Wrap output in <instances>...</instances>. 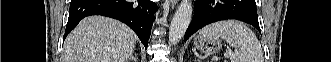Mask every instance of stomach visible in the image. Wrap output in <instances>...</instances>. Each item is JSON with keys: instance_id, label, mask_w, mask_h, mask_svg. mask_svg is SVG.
Masks as SVG:
<instances>
[{"instance_id": "1", "label": "stomach", "mask_w": 331, "mask_h": 62, "mask_svg": "<svg viewBox=\"0 0 331 62\" xmlns=\"http://www.w3.org/2000/svg\"><path fill=\"white\" fill-rule=\"evenodd\" d=\"M195 49L206 54H215L221 49V41L219 38H209L197 36L194 39Z\"/></svg>"}]
</instances>
